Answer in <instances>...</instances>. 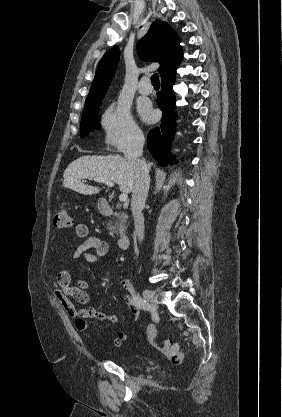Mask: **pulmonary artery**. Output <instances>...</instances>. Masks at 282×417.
<instances>
[{"mask_svg": "<svg viewBox=\"0 0 282 417\" xmlns=\"http://www.w3.org/2000/svg\"><path fill=\"white\" fill-rule=\"evenodd\" d=\"M149 79L147 77H143L142 80L139 83L138 91L142 95H149L152 92V87L145 86V83H148Z\"/></svg>", "mask_w": 282, "mask_h": 417, "instance_id": "pulmonary-artery-1", "label": "pulmonary artery"}]
</instances>
